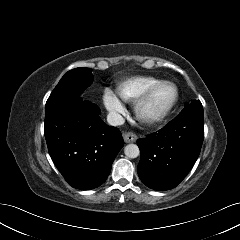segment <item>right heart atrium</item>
<instances>
[{
  "label": "right heart atrium",
  "mask_w": 240,
  "mask_h": 240,
  "mask_svg": "<svg viewBox=\"0 0 240 240\" xmlns=\"http://www.w3.org/2000/svg\"><path fill=\"white\" fill-rule=\"evenodd\" d=\"M103 102H104L105 108L115 118L119 117L125 112L124 103L122 102L120 97L110 89H105L104 95H103Z\"/></svg>",
  "instance_id": "right-heart-atrium-1"
}]
</instances>
